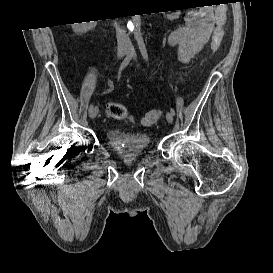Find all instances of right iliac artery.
Listing matches in <instances>:
<instances>
[{
	"label": "right iliac artery",
	"instance_id": "right-iliac-artery-1",
	"mask_svg": "<svg viewBox=\"0 0 273 273\" xmlns=\"http://www.w3.org/2000/svg\"><path fill=\"white\" fill-rule=\"evenodd\" d=\"M134 53H135V48L133 47V48L129 51V53H128V55L126 56V58L122 61L121 65H120V67H119V70H118V75H120L121 72H122V71L126 68V66L130 63V61H131V59H132ZM93 107H94L93 104H91L90 107H89V111L92 110Z\"/></svg>",
	"mask_w": 273,
	"mask_h": 273
}]
</instances>
